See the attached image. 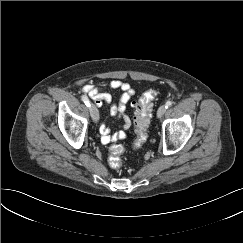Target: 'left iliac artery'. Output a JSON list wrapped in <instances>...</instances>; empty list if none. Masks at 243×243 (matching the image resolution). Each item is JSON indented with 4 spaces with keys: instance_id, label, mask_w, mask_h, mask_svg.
<instances>
[{
    "instance_id": "left-iliac-artery-1",
    "label": "left iliac artery",
    "mask_w": 243,
    "mask_h": 243,
    "mask_svg": "<svg viewBox=\"0 0 243 243\" xmlns=\"http://www.w3.org/2000/svg\"><path fill=\"white\" fill-rule=\"evenodd\" d=\"M172 105V101H167L165 104L166 109Z\"/></svg>"
}]
</instances>
